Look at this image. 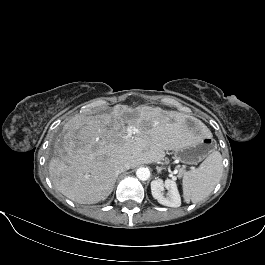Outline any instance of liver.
Returning a JSON list of instances; mask_svg holds the SVG:
<instances>
[{"instance_id": "obj_1", "label": "liver", "mask_w": 265, "mask_h": 265, "mask_svg": "<svg viewBox=\"0 0 265 265\" xmlns=\"http://www.w3.org/2000/svg\"><path fill=\"white\" fill-rule=\"evenodd\" d=\"M195 118L160 107L135 109L116 105L110 113L76 115L62 128L55 145V156L49 162V173L55 188L79 204H95L113 191L121 163L131 168L162 160L165 151L184 147L208 132L195 120L200 134L187 125ZM137 133L127 137V128Z\"/></svg>"}]
</instances>
